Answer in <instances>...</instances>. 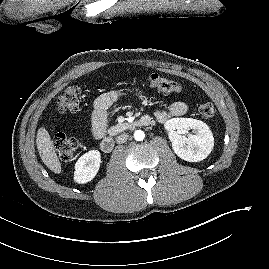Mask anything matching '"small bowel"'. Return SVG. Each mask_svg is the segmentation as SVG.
<instances>
[{
  "label": "small bowel",
  "mask_w": 269,
  "mask_h": 269,
  "mask_svg": "<svg viewBox=\"0 0 269 269\" xmlns=\"http://www.w3.org/2000/svg\"><path fill=\"white\" fill-rule=\"evenodd\" d=\"M122 97L117 91H109L98 96L94 101L92 115V131L96 138H101L107 128L109 108ZM188 106L185 102L176 101L168 109H157L155 117L159 122H166L170 118L182 117L187 113Z\"/></svg>",
  "instance_id": "c3829d8e"
}]
</instances>
